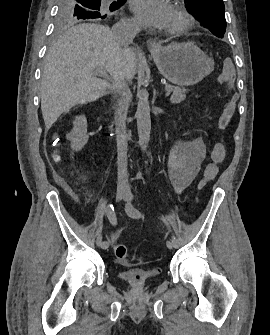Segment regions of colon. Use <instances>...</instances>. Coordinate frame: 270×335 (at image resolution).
I'll return each mask as SVG.
<instances>
[{
  "label": "colon",
  "mask_w": 270,
  "mask_h": 335,
  "mask_svg": "<svg viewBox=\"0 0 270 335\" xmlns=\"http://www.w3.org/2000/svg\"><path fill=\"white\" fill-rule=\"evenodd\" d=\"M221 63L223 64V67L220 80L223 83V89H234V82L232 81L234 76L233 67L235 63V58L222 57ZM222 108L224 110L223 112H219L218 127L221 129H225L228 127L230 122V114L232 112L231 109L233 108V103L223 102ZM214 146H215V148L213 149L214 155L226 154V149L224 148L225 146L224 141H215ZM226 162H227L226 156H215L214 162H212L206 168L201 184L205 185L208 181H210L213 178V176L216 174L218 163H226ZM115 256L118 260L122 262H128L130 260V254L128 252L127 246L125 244H117L115 246Z\"/></svg>",
  "instance_id": "obj_1"
}]
</instances>
